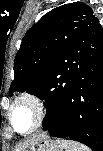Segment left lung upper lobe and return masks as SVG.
Returning a JSON list of instances; mask_svg holds the SVG:
<instances>
[{"mask_svg":"<svg viewBox=\"0 0 103 151\" xmlns=\"http://www.w3.org/2000/svg\"><path fill=\"white\" fill-rule=\"evenodd\" d=\"M99 23L83 2L54 8L34 24L22 39L14 61L10 92L35 94L40 82L51 78L60 59L85 30Z\"/></svg>","mask_w":103,"mask_h":151,"instance_id":"left-lung-upper-lobe-1","label":"left lung upper lobe"}]
</instances>
